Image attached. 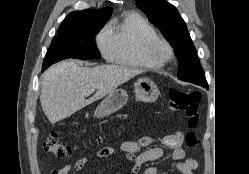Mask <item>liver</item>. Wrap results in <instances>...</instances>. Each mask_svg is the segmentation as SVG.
Here are the masks:
<instances>
[{"mask_svg":"<svg viewBox=\"0 0 249 174\" xmlns=\"http://www.w3.org/2000/svg\"><path fill=\"white\" fill-rule=\"evenodd\" d=\"M142 73L139 69L117 65L81 67L75 61H63L43 74L40 103L48 120L56 123ZM94 91L91 98L85 99Z\"/></svg>","mask_w":249,"mask_h":174,"instance_id":"liver-1","label":"liver"}]
</instances>
